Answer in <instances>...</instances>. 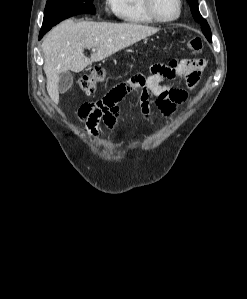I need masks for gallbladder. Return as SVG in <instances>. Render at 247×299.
Listing matches in <instances>:
<instances>
[{
  "label": "gallbladder",
  "mask_w": 247,
  "mask_h": 299,
  "mask_svg": "<svg viewBox=\"0 0 247 299\" xmlns=\"http://www.w3.org/2000/svg\"><path fill=\"white\" fill-rule=\"evenodd\" d=\"M72 84H73V76L70 71L62 72L59 75L58 91L61 94L66 93L72 87Z\"/></svg>",
  "instance_id": "1"
}]
</instances>
